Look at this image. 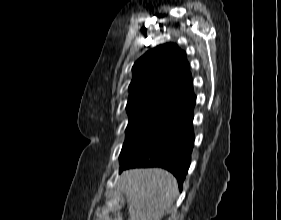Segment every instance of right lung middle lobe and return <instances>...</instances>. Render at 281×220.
Returning <instances> with one entry per match:
<instances>
[{"label": "right lung middle lobe", "instance_id": "obj_1", "mask_svg": "<svg viewBox=\"0 0 281 220\" xmlns=\"http://www.w3.org/2000/svg\"><path fill=\"white\" fill-rule=\"evenodd\" d=\"M170 121L164 117L129 118L126 139L120 153L121 167L129 162Z\"/></svg>", "mask_w": 281, "mask_h": 220}]
</instances>
